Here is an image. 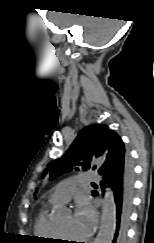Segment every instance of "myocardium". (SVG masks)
<instances>
[{"mask_svg":"<svg viewBox=\"0 0 154 243\" xmlns=\"http://www.w3.org/2000/svg\"><path fill=\"white\" fill-rule=\"evenodd\" d=\"M55 230H56V235L58 237V239L64 241L67 237L62 233L59 225L57 223H55Z\"/></svg>","mask_w":154,"mask_h":243,"instance_id":"myocardium-1","label":"myocardium"}]
</instances>
